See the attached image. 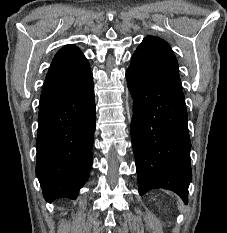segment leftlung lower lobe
<instances>
[{
  "label": "left lung lower lobe",
  "instance_id": "0a47b994",
  "mask_svg": "<svg viewBox=\"0 0 227 233\" xmlns=\"http://www.w3.org/2000/svg\"><path fill=\"white\" fill-rule=\"evenodd\" d=\"M126 78L134 99L131 139L139 194L164 188L187 204L192 171L184 94L132 69Z\"/></svg>",
  "mask_w": 227,
  "mask_h": 233
}]
</instances>
